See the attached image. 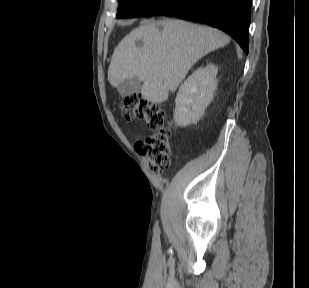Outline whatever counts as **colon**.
I'll use <instances>...</instances> for the list:
<instances>
[{
	"mask_svg": "<svg viewBox=\"0 0 309 288\" xmlns=\"http://www.w3.org/2000/svg\"><path fill=\"white\" fill-rule=\"evenodd\" d=\"M120 108L126 119H140L153 131L136 143L137 151L147 158L150 169L155 173L168 169L172 146L171 133L165 127V111L157 103L138 95L127 96Z\"/></svg>",
	"mask_w": 309,
	"mask_h": 288,
	"instance_id": "1",
	"label": "colon"
}]
</instances>
